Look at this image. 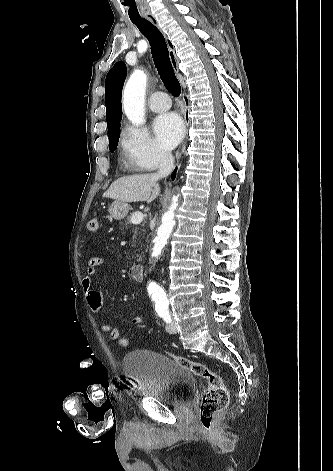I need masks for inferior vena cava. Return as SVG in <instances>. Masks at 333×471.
Returning <instances> with one entry per match:
<instances>
[{"label":"inferior vena cava","instance_id":"602c4592","mask_svg":"<svg viewBox=\"0 0 333 471\" xmlns=\"http://www.w3.org/2000/svg\"><path fill=\"white\" fill-rule=\"evenodd\" d=\"M174 168V158L170 152L162 151L160 154L159 170L156 177H167Z\"/></svg>","mask_w":333,"mask_h":471}]
</instances>
